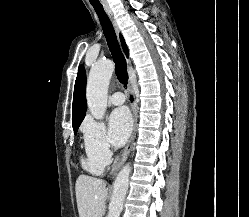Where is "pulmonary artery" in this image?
<instances>
[{"label":"pulmonary artery","instance_id":"1","mask_svg":"<svg viewBox=\"0 0 249 217\" xmlns=\"http://www.w3.org/2000/svg\"><path fill=\"white\" fill-rule=\"evenodd\" d=\"M110 101L113 105H121L125 102V96L121 92H115L110 97Z\"/></svg>","mask_w":249,"mask_h":217}]
</instances>
